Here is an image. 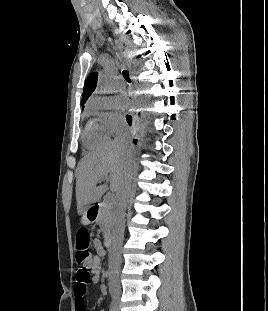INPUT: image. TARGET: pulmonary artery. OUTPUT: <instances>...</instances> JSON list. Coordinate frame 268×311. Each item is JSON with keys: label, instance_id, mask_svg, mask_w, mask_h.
<instances>
[{"label": "pulmonary artery", "instance_id": "pulmonary-artery-1", "mask_svg": "<svg viewBox=\"0 0 268 311\" xmlns=\"http://www.w3.org/2000/svg\"><path fill=\"white\" fill-rule=\"evenodd\" d=\"M124 84L122 82L119 83L118 88H123Z\"/></svg>", "mask_w": 268, "mask_h": 311}]
</instances>
